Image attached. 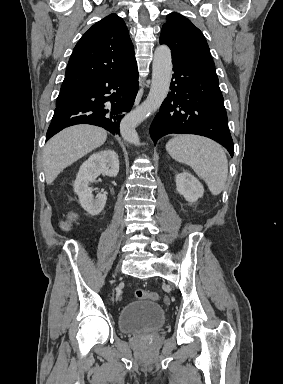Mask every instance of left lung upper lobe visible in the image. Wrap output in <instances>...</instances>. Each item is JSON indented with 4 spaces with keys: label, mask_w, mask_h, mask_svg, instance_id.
Returning <instances> with one entry per match:
<instances>
[{
    "label": "left lung upper lobe",
    "mask_w": 283,
    "mask_h": 384,
    "mask_svg": "<svg viewBox=\"0 0 283 384\" xmlns=\"http://www.w3.org/2000/svg\"><path fill=\"white\" fill-rule=\"evenodd\" d=\"M171 49L172 59L215 72V65L202 32L179 13L167 15L159 39Z\"/></svg>",
    "instance_id": "obj_1"
}]
</instances>
